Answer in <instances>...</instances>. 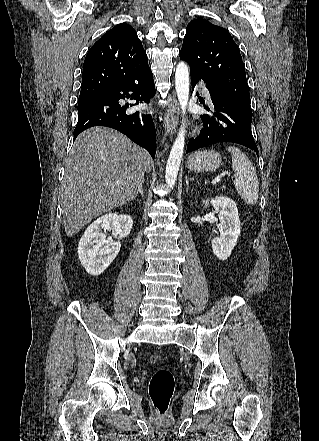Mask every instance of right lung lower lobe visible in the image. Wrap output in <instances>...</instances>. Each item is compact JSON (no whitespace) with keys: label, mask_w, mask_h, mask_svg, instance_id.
Here are the masks:
<instances>
[{"label":"right lung lower lobe","mask_w":319,"mask_h":441,"mask_svg":"<svg viewBox=\"0 0 319 441\" xmlns=\"http://www.w3.org/2000/svg\"><path fill=\"white\" fill-rule=\"evenodd\" d=\"M154 94L153 74L149 69L89 101L78 104V123L74 130V139L87 128L106 126L122 132L154 158L156 132L151 115H140L139 112L126 114L127 107L118 103L125 98L148 102Z\"/></svg>","instance_id":"1"}]
</instances>
